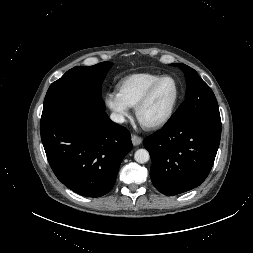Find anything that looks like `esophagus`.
I'll return each mask as SVG.
<instances>
[{"label": "esophagus", "mask_w": 253, "mask_h": 253, "mask_svg": "<svg viewBox=\"0 0 253 253\" xmlns=\"http://www.w3.org/2000/svg\"><path fill=\"white\" fill-rule=\"evenodd\" d=\"M131 140H132L133 145H135V146H138L142 143L141 137H139L137 135H132Z\"/></svg>", "instance_id": "1"}]
</instances>
